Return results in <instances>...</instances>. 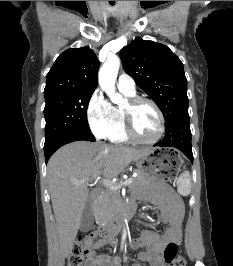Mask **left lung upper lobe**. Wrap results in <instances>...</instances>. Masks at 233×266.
I'll list each match as a JSON object with an SVG mask.
<instances>
[{
  "mask_svg": "<svg viewBox=\"0 0 233 266\" xmlns=\"http://www.w3.org/2000/svg\"><path fill=\"white\" fill-rule=\"evenodd\" d=\"M120 57L126 73L162 111L165 126L188 110L183 64L168 47L138 37L121 50Z\"/></svg>",
  "mask_w": 233,
  "mask_h": 266,
  "instance_id": "5c2ea615",
  "label": "left lung upper lobe"
}]
</instances>
